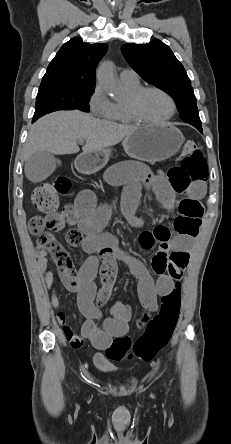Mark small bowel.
Returning <instances> with one entry per match:
<instances>
[{
    "label": "small bowel",
    "mask_w": 231,
    "mask_h": 444,
    "mask_svg": "<svg viewBox=\"0 0 231 444\" xmlns=\"http://www.w3.org/2000/svg\"><path fill=\"white\" fill-rule=\"evenodd\" d=\"M104 181L112 186H124L122 211L132 226H142V220L135 216V209L143 186L169 211H173L175 195H184L185 199L198 202L205 193L203 182H194L181 188L174 185L167 176L159 171L151 172L146 166L125 161L114 164L103 173ZM72 214L71 224H77L67 234V242L73 247H81L90 256L82 265L78 277L77 304L84 322L80 332H75L59 300L54 284V275L48 269L45 252H37V264L51 297V304L57 312V320L65 339L74 348L82 346L85 340L100 350L107 349L114 338L124 336L129 331L133 309L129 305L117 302L111 308V316L102 319V305L110 297L116 272L117 261L126 263L138 279V296L144 309L150 312L158 310V297H164L175 287L190 259V241L192 237L176 235L173 238L158 235L155 230H144L138 237L141 248L152 249L159 245L152 259L154 280L147 268L137 259L119 248L117 239L102 232L109 220L112 207L108 204L97 205L94 194L89 190L80 192L74 204L68 206ZM99 273L102 287L97 290L94 279ZM98 321H102L99 325Z\"/></svg>",
    "instance_id": "1"
}]
</instances>
